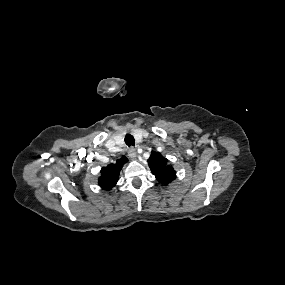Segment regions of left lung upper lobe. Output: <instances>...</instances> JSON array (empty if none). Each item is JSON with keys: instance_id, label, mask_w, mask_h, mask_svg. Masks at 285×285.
<instances>
[{"instance_id": "left-lung-upper-lobe-1", "label": "left lung upper lobe", "mask_w": 285, "mask_h": 285, "mask_svg": "<svg viewBox=\"0 0 285 285\" xmlns=\"http://www.w3.org/2000/svg\"><path fill=\"white\" fill-rule=\"evenodd\" d=\"M167 162L168 160L166 158H163L154 151L151 152V156L148 159L152 173L160 183L165 185L173 181L176 177V172L167 164Z\"/></svg>"}]
</instances>
